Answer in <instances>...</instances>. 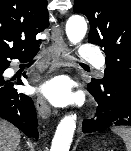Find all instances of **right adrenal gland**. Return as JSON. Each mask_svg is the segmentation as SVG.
Returning <instances> with one entry per match:
<instances>
[{"label":"right adrenal gland","instance_id":"obj_1","mask_svg":"<svg viewBox=\"0 0 131 151\" xmlns=\"http://www.w3.org/2000/svg\"><path fill=\"white\" fill-rule=\"evenodd\" d=\"M17 151H22L20 146L17 147Z\"/></svg>","mask_w":131,"mask_h":151}]
</instances>
